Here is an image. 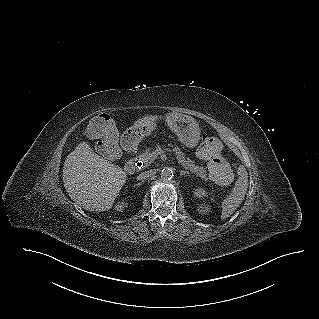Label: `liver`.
Masks as SVG:
<instances>
[{
    "label": "liver",
    "instance_id": "1",
    "mask_svg": "<svg viewBox=\"0 0 319 319\" xmlns=\"http://www.w3.org/2000/svg\"><path fill=\"white\" fill-rule=\"evenodd\" d=\"M158 119L162 117H145L135 125H149ZM126 179L122 168L94 153L85 141L64 162V187L70 198L85 210L103 212L111 209Z\"/></svg>",
    "mask_w": 319,
    "mask_h": 319
}]
</instances>
